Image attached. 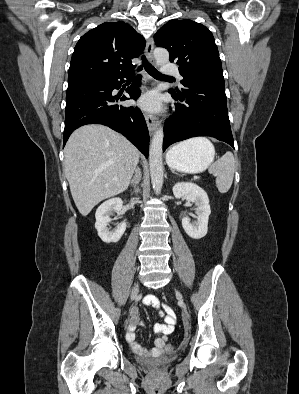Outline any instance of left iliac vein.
Wrapping results in <instances>:
<instances>
[{
	"label": "left iliac vein",
	"instance_id": "left-iliac-vein-1",
	"mask_svg": "<svg viewBox=\"0 0 299 394\" xmlns=\"http://www.w3.org/2000/svg\"><path fill=\"white\" fill-rule=\"evenodd\" d=\"M177 292V295L179 296V297H181V294L178 292V291H176Z\"/></svg>",
	"mask_w": 299,
	"mask_h": 394
}]
</instances>
